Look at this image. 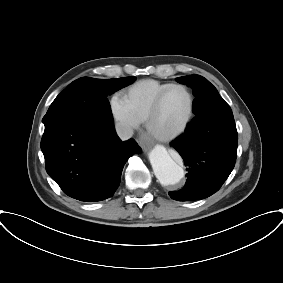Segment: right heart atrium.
<instances>
[{
	"instance_id": "1",
	"label": "right heart atrium",
	"mask_w": 283,
	"mask_h": 283,
	"mask_svg": "<svg viewBox=\"0 0 283 283\" xmlns=\"http://www.w3.org/2000/svg\"><path fill=\"white\" fill-rule=\"evenodd\" d=\"M110 110L123 135L130 136L139 127V122L132 115L121 96L114 95L111 98Z\"/></svg>"
}]
</instances>
